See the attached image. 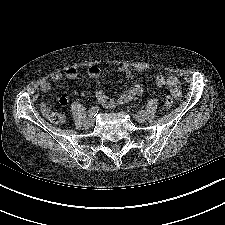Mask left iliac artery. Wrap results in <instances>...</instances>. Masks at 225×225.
Instances as JSON below:
<instances>
[{
	"instance_id": "44dca946",
	"label": "left iliac artery",
	"mask_w": 225,
	"mask_h": 225,
	"mask_svg": "<svg viewBox=\"0 0 225 225\" xmlns=\"http://www.w3.org/2000/svg\"><path fill=\"white\" fill-rule=\"evenodd\" d=\"M140 113H142V114H147V113H148V110H147V109H142V110L140 111Z\"/></svg>"
}]
</instances>
